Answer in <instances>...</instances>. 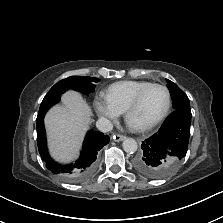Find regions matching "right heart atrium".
<instances>
[{
    "label": "right heart atrium",
    "mask_w": 223,
    "mask_h": 223,
    "mask_svg": "<svg viewBox=\"0 0 223 223\" xmlns=\"http://www.w3.org/2000/svg\"><path fill=\"white\" fill-rule=\"evenodd\" d=\"M95 108L98 115L106 121H113L121 114L105 95L96 97Z\"/></svg>",
    "instance_id": "right-heart-atrium-1"
}]
</instances>
